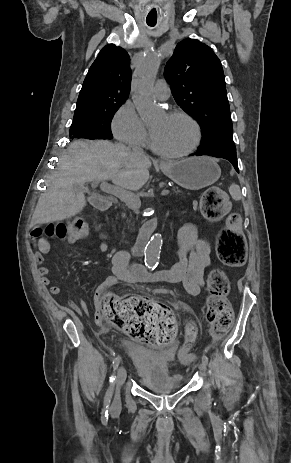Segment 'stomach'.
I'll list each match as a JSON object with an SVG mask.
<instances>
[{
	"instance_id": "1",
	"label": "stomach",
	"mask_w": 291,
	"mask_h": 463,
	"mask_svg": "<svg viewBox=\"0 0 291 463\" xmlns=\"http://www.w3.org/2000/svg\"><path fill=\"white\" fill-rule=\"evenodd\" d=\"M161 170L178 185L189 190H199L214 184L221 175L218 164L210 157H191L176 162H166Z\"/></svg>"
}]
</instances>
